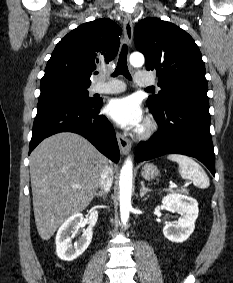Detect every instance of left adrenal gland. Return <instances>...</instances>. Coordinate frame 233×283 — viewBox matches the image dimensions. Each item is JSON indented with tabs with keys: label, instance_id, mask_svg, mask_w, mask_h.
<instances>
[{
	"label": "left adrenal gland",
	"instance_id": "left-adrenal-gland-1",
	"mask_svg": "<svg viewBox=\"0 0 233 283\" xmlns=\"http://www.w3.org/2000/svg\"><path fill=\"white\" fill-rule=\"evenodd\" d=\"M140 184H141L140 197L142 198V197L145 196V194H147V192H150V189H148V188L145 187V184H144L143 181H141Z\"/></svg>",
	"mask_w": 233,
	"mask_h": 283
}]
</instances>
